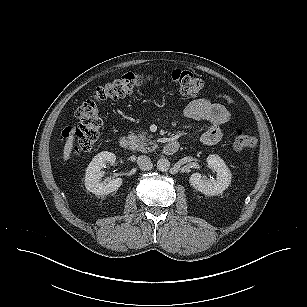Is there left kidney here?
Here are the masks:
<instances>
[{"instance_id": "left-kidney-1", "label": "left kidney", "mask_w": 307, "mask_h": 307, "mask_svg": "<svg viewBox=\"0 0 307 307\" xmlns=\"http://www.w3.org/2000/svg\"><path fill=\"white\" fill-rule=\"evenodd\" d=\"M208 167L217 173L216 179L205 180L200 173H193L189 178V183L197 191L214 196L223 193L231 184V172L224 161L218 155L207 157Z\"/></svg>"}]
</instances>
